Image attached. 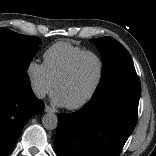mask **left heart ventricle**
I'll return each instance as SVG.
<instances>
[{"mask_svg":"<svg viewBox=\"0 0 156 156\" xmlns=\"http://www.w3.org/2000/svg\"><path fill=\"white\" fill-rule=\"evenodd\" d=\"M100 73V64L94 56L83 57L72 75L62 83L57 94L65 105H72L84 99L95 86Z\"/></svg>","mask_w":156,"mask_h":156,"instance_id":"obj_1","label":"left heart ventricle"}]
</instances>
